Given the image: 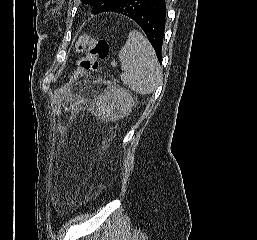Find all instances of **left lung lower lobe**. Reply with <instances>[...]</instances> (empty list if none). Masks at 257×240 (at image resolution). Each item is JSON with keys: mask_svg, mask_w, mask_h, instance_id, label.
Masks as SVG:
<instances>
[{"mask_svg": "<svg viewBox=\"0 0 257 240\" xmlns=\"http://www.w3.org/2000/svg\"><path fill=\"white\" fill-rule=\"evenodd\" d=\"M106 12H116L133 20L147 35L159 62L166 23L165 0H121Z\"/></svg>", "mask_w": 257, "mask_h": 240, "instance_id": "obj_1", "label": "left lung lower lobe"}]
</instances>
